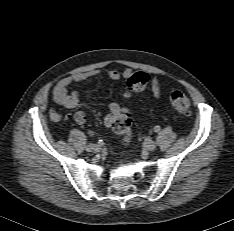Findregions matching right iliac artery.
I'll return each mask as SVG.
<instances>
[{
  "label": "right iliac artery",
  "instance_id": "1",
  "mask_svg": "<svg viewBox=\"0 0 234 231\" xmlns=\"http://www.w3.org/2000/svg\"><path fill=\"white\" fill-rule=\"evenodd\" d=\"M95 144H93V143H90L88 146L89 147H93Z\"/></svg>",
  "mask_w": 234,
  "mask_h": 231
}]
</instances>
